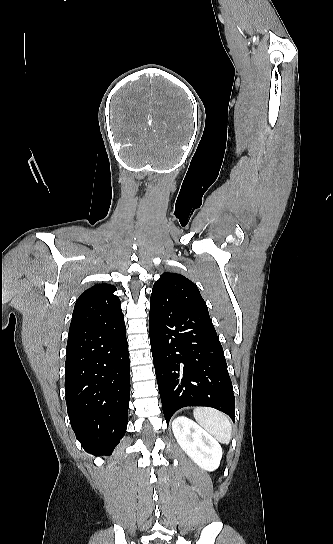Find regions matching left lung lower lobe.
<instances>
[{
	"label": "left lung lower lobe",
	"mask_w": 333,
	"mask_h": 544,
	"mask_svg": "<svg viewBox=\"0 0 333 544\" xmlns=\"http://www.w3.org/2000/svg\"><path fill=\"white\" fill-rule=\"evenodd\" d=\"M150 343L163 413L208 406L235 421V397L209 313L150 302Z\"/></svg>",
	"instance_id": "1"
}]
</instances>
